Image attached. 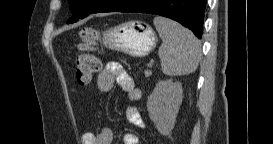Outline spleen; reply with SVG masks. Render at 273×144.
Masks as SVG:
<instances>
[{
  "mask_svg": "<svg viewBox=\"0 0 273 144\" xmlns=\"http://www.w3.org/2000/svg\"><path fill=\"white\" fill-rule=\"evenodd\" d=\"M153 23L162 39L158 55L163 73L168 76L193 73L200 59L199 42L194 34L165 17L157 16Z\"/></svg>",
  "mask_w": 273,
  "mask_h": 144,
  "instance_id": "spleen-1",
  "label": "spleen"
}]
</instances>
